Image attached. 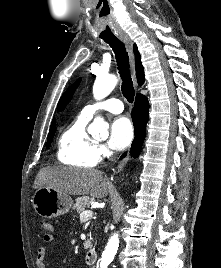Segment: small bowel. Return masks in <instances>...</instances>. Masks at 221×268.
Wrapping results in <instances>:
<instances>
[{"instance_id": "obj_1", "label": "small bowel", "mask_w": 221, "mask_h": 268, "mask_svg": "<svg viewBox=\"0 0 221 268\" xmlns=\"http://www.w3.org/2000/svg\"><path fill=\"white\" fill-rule=\"evenodd\" d=\"M54 240V234H53V228L51 231L46 232L43 235V241L45 243H50ZM46 247L45 246H40L37 249V253H36V265L37 268H46V263H45V258H46Z\"/></svg>"}]
</instances>
